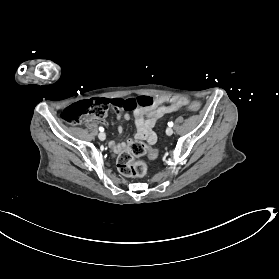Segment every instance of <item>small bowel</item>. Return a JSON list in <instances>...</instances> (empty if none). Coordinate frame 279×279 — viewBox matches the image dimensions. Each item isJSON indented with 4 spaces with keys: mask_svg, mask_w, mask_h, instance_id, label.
<instances>
[{
    "mask_svg": "<svg viewBox=\"0 0 279 279\" xmlns=\"http://www.w3.org/2000/svg\"><path fill=\"white\" fill-rule=\"evenodd\" d=\"M187 100L184 98H175L168 96H158L155 98V105L151 108H139L134 111V118L136 124V139L144 140L149 144L156 142V134L153 128L156 122L165 115L179 110L187 105ZM118 118L128 120L130 119L129 113L118 114ZM122 126L118 127V132L122 133ZM131 140L125 142L112 141L110 148L114 153H119L126 149Z\"/></svg>",
    "mask_w": 279,
    "mask_h": 279,
    "instance_id": "1",
    "label": "small bowel"
}]
</instances>
